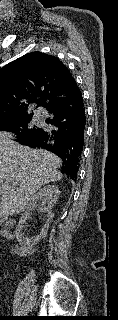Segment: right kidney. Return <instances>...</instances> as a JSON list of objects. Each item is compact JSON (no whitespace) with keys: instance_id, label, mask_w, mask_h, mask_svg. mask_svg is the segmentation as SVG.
<instances>
[{"instance_id":"1","label":"right kidney","mask_w":118,"mask_h":320,"mask_svg":"<svg viewBox=\"0 0 118 320\" xmlns=\"http://www.w3.org/2000/svg\"><path fill=\"white\" fill-rule=\"evenodd\" d=\"M60 191L56 185H46L35 193L26 208L24 214L21 216L19 223L15 230V236L20 244L19 250L23 253L32 254L34 252V246L47 236L49 225L54 217L52 208L59 198ZM42 200V203L40 201ZM33 211L44 213L46 216V222L41 232L32 237H24L22 230L25 227L26 221L30 219Z\"/></svg>"}]
</instances>
